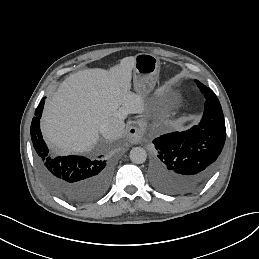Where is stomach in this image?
<instances>
[{"instance_id":"stomach-1","label":"stomach","mask_w":259,"mask_h":259,"mask_svg":"<svg viewBox=\"0 0 259 259\" xmlns=\"http://www.w3.org/2000/svg\"><path fill=\"white\" fill-rule=\"evenodd\" d=\"M136 63L134 66V72L145 76H155L160 71L159 59L149 53H139L135 56Z\"/></svg>"}]
</instances>
